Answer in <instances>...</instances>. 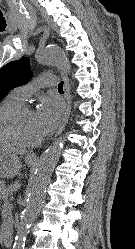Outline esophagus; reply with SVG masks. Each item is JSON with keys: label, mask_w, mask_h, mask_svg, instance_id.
I'll use <instances>...</instances> for the list:
<instances>
[{"label": "esophagus", "mask_w": 135, "mask_h": 249, "mask_svg": "<svg viewBox=\"0 0 135 249\" xmlns=\"http://www.w3.org/2000/svg\"><path fill=\"white\" fill-rule=\"evenodd\" d=\"M62 74V78H63V81H64V95H65V99H66V102H67V108H66V111H65V114H64V117L62 119V122H61V125L56 133V136L60 135L62 133V131L64 130L67 122H68V119H69V116H70V112H71V105H72V99H71V94H70V87H69V80L65 74L64 71L61 72ZM31 158H36V155L35 154H31L30 155Z\"/></svg>", "instance_id": "34e87169"}]
</instances>
